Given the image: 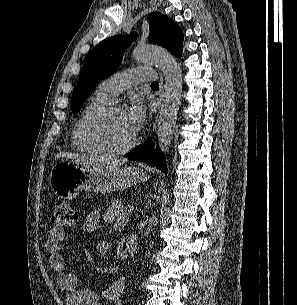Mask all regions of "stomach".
Segmentation results:
<instances>
[{"label":"stomach","instance_id":"obj_1","mask_svg":"<svg viewBox=\"0 0 297 305\" xmlns=\"http://www.w3.org/2000/svg\"><path fill=\"white\" fill-rule=\"evenodd\" d=\"M149 175L139 166L104 167L62 160L51 170L49 183L60 199L72 200L80 191L110 193L147 181Z\"/></svg>","mask_w":297,"mask_h":305}]
</instances>
